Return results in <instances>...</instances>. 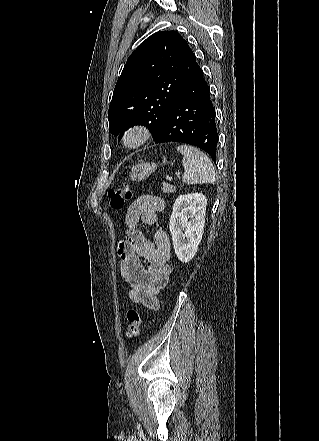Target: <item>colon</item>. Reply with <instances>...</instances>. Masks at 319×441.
Listing matches in <instances>:
<instances>
[{
  "mask_svg": "<svg viewBox=\"0 0 319 441\" xmlns=\"http://www.w3.org/2000/svg\"><path fill=\"white\" fill-rule=\"evenodd\" d=\"M108 198L113 211L122 210L126 202L132 198L129 183H125L123 187L109 190ZM127 320L126 337L128 339H134L140 332L142 325L141 315L136 309H129L127 312Z\"/></svg>",
  "mask_w": 319,
  "mask_h": 441,
  "instance_id": "obj_1",
  "label": "colon"
}]
</instances>
